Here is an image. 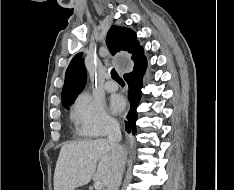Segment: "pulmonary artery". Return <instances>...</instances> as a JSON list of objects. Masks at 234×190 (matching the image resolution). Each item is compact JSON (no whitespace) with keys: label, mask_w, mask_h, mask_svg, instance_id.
Returning <instances> with one entry per match:
<instances>
[{"label":"pulmonary artery","mask_w":234,"mask_h":190,"mask_svg":"<svg viewBox=\"0 0 234 190\" xmlns=\"http://www.w3.org/2000/svg\"><path fill=\"white\" fill-rule=\"evenodd\" d=\"M105 89L107 91L113 92L116 91L118 89V85L116 82L110 80V76L107 75V81L105 83Z\"/></svg>","instance_id":"pulmonary-artery-1"}]
</instances>
